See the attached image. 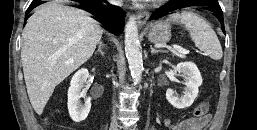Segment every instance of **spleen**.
<instances>
[{"mask_svg": "<svg viewBox=\"0 0 257 130\" xmlns=\"http://www.w3.org/2000/svg\"><path fill=\"white\" fill-rule=\"evenodd\" d=\"M167 22L180 23L189 31L195 46L205 52L213 60H220L223 56L219 39L211 25L198 14L184 10L169 16Z\"/></svg>", "mask_w": 257, "mask_h": 130, "instance_id": "spleen-1", "label": "spleen"}]
</instances>
